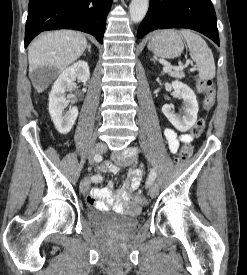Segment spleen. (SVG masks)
Here are the masks:
<instances>
[{
    "mask_svg": "<svg viewBox=\"0 0 247 275\" xmlns=\"http://www.w3.org/2000/svg\"><path fill=\"white\" fill-rule=\"evenodd\" d=\"M179 32L184 37L190 56L198 67L199 78L201 80L213 79L215 77V62L206 41L191 30L183 29Z\"/></svg>",
    "mask_w": 247,
    "mask_h": 275,
    "instance_id": "spleen-1",
    "label": "spleen"
}]
</instances>
